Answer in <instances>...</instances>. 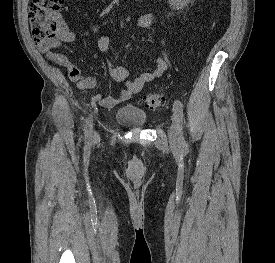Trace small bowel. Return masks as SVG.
<instances>
[{"label":"small bowel","mask_w":275,"mask_h":263,"mask_svg":"<svg viewBox=\"0 0 275 263\" xmlns=\"http://www.w3.org/2000/svg\"><path fill=\"white\" fill-rule=\"evenodd\" d=\"M156 17L150 13L139 14L136 18V24L142 29H151L155 26ZM75 40V35L60 22V30L55 40L45 44L38 45V49L46 53L47 58L55 64L62 66L66 70L68 79L74 82L80 90H91L96 86V80L93 77L84 76L80 69L75 66L66 55L54 52L53 49L59 47L62 43H70ZM97 46L99 51L104 52L110 47V38L106 35L98 39ZM108 71L113 81L122 86V90L117 96L103 97L101 94L92 96V102L99 103L104 108H116L124 105L134 94L139 93L149 82L159 79L165 75L169 68L168 61L163 57L155 59L154 68L151 71L143 72L135 78H128V70L122 65L108 62Z\"/></svg>","instance_id":"c3829d8e"}]
</instances>
